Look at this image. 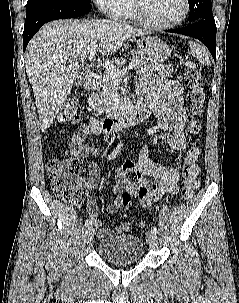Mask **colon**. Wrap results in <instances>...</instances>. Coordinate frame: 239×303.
<instances>
[{
	"label": "colon",
	"instance_id": "obj_1",
	"mask_svg": "<svg viewBox=\"0 0 239 303\" xmlns=\"http://www.w3.org/2000/svg\"><path fill=\"white\" fill-rule=\"evenodd\" d=\"M184 79L187 88V98L189 102V111L191 120L189 122V133L196 136L201 124L199 117L203 112L205 104V84L201 72V67L195 61H188L184 69ZM80 120V111L76 100L69 99L62 108L59 121L61 123L75 124ZM200 151L194 139L189 147L183 165V186L181 189V198L189 200L193 197L195 191L200 185V168L197 164ZM82 163L76 157H67L63 159H50L46 163V172L48 174L52 191L63 201L73 204H81L85 200V190L80 178ZM121 204L124 208H129L132 203V196L129 192H124L121 197Z\"/></svg>",
	"mask_w": 239,
	"mask_h": 303
}]
</instances>
